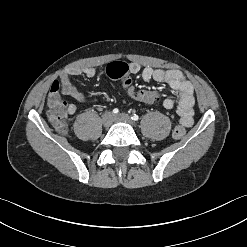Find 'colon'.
<instances>
[{
	"instance_id": "colon-1",
	"label": "colon",
	"mask_w": 247,
	"mask_h": 247,
	"mask_svg": "<svg viewBox=\"0 0 247 247\" xmlns=\"http://www.w3.org/2000/svg\"><path fill=\"white\" fill-rule=\"evenodd\" d=\"M106 74L115 80L123 81V88L127 95L136 101L142 102L145 106H153L159 97L156 91L137 90L131 82L128 65L123 62H112L106 66ZM48 117L54 127L61 133L66 132L67 124V105L62 100L57 88H51L48 95ZM186 133L183 125H177L173 129L172 136L174 139H181Z\"/></svg>"
}]
</instances>
